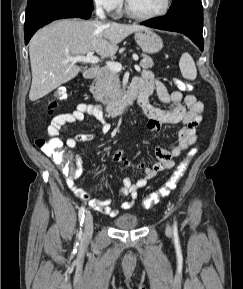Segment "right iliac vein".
Here are the masks:
<instances>
[{
	"label": "right iliac vein",
	"mask_w": 243,
	"mask_h": 289,
	"mask_svg": "<svg viewBox=\"0 0 243 289\" xmlns=\"http://www.w3.org/2000/svg\"><path fill=\"white\" fill-rule=\"evenodd\" d=\"M84 228L83 238L84 240H88L93 233V217L89 212L85 216Z\"/></svg>",
	"instance_id": "1"
}]
</instances>
